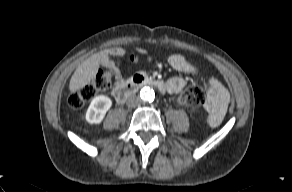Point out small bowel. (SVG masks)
<instances>
[{"mask_svg": "<svg viewBox=\"0 0 292 192\" xmlns=\"http://www.w3.org/2000/svg\"><path fill=\"white\" fill-rule=\"evenodd\" d=\"M138 52L145 54L144 49H138ZM125 55V50L120 47H114L105 51L102 56L101 64L105 68L114 70L116 89L123 83L122 75L115 68L112 58L122 57ZM170 66L176 71L197 75L200 73L199 69L189 62L184 56L180 54H173L168 59ZM186 86V81L182 77H172L166 80L165 89L170 93H179ZM205 86L207 89V98L205 102V109L207 111L206 122L210 126L218 125L226 111L230 102V94L227 88L215 77L209 76L205 78Z\"/></svg>", "mask_w": 292, "mask_h": 192, "instance_id": "c3829d8e", "label": "small bowel"}]
</instances>
